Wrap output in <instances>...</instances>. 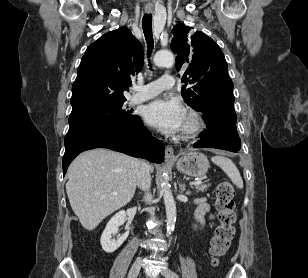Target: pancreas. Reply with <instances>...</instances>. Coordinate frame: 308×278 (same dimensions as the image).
I'll list each match as a JSON object with an SVG mask.
<instances>
[{
  "label": "pancreas",
  "mask_w": 308,
  "mask_h": 278,
  "mask_svg": "<svg viewBox=\"0 0 308 278\" xmlns=\"http://www.w3.org/2000/svg\"><path fill=\"white\" fill-rule=\"evenodd\" d=\"M195 189L197 190V192L203 193L207 190V186L206 185H197V186H195Z\"/></svg>",
  "instance_id": "pancreas-1"
}]
</instances>
